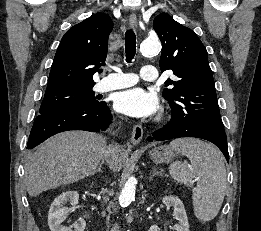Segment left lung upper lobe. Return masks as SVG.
<instances>
[{
  "mask_svg": "<svg viewBox=\"0 0 261 231\" xmlns=\"http://www.w3.org/2000/svg\"><path fill=\"white\" fill-rule=\"evenodd\" d=\"M153 27L162 42L160 68L171 69L176 80L167 79L164 98L172 118L181 119L202 133L227 140L220 118L207 50L194 31L161 13Z\"/></svg>",
  "mask_w": 261,
  "mask_h": 231,
  "instance_id": "left-lung-upper-lobe-1",
  "label": "left lung upper lobe"
}]
</instances>
